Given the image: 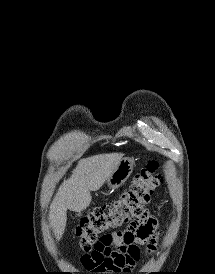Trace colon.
Returning a JSON list of instances; mask_svg holds the SVG:
<instances>
[{
	"label": "colon",
	"mask_w": 215,
	"mask_h": 274,
	"mask_svg": "<svg viewBox=\"0 0 215 274\" xmlns=\"http://www.w3.org/2000/svg\"><path fill=\"white\" fill-rule=\"evenodd\" d=\"M157 170L158 163L149 161L146 167L135 175L130 188L117 200L95 208L80 220L75 229V236L83 251H90L108 231L143 216L145 204L162 182Z\"/></svg>",
	"instance_id": "5ec220e1"
}]
</instances>
